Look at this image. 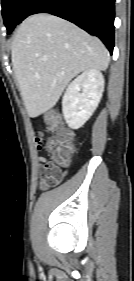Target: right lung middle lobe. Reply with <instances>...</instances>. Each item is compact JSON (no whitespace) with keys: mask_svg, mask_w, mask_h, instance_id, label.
<instances>
[{"mask_svg":"<svg viewBox=\"0 0 134 281\" xmlns=\"http://www.w3.org/2000/svg\"><path fill=\"white\" fill-rule=\"evenodd\" d=\"M30 2L31 0H2V15L8 34L23 20L24 11Z\"/></svg>","mask_w":134,"mask_h":281,"instance_id":"obj_1","label":"right lung middle lobe"}]
</instances>
